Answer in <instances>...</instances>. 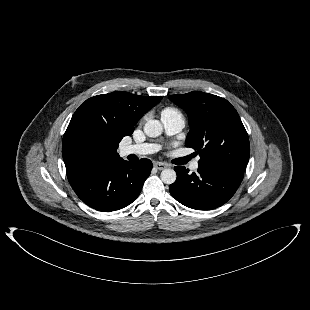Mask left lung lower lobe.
<instances>
[{"instance_id":"1","label":"left lung lower lobe","mask_w":310,"mask_h":310,"mask_svg":"<svg viewBox=\"0 0 310 310\" xmlns=\"http://www.w3.org/2000/svg\"><path fill=\"white\" fill-rule=\"evenodd\" d=\"M176 181L169 186L171 195L181 204L198 210H210L225 204L236 192L243 173L215 166H199L188 174L183 166L174 168Z\"/></svg>"}]
</instances>
